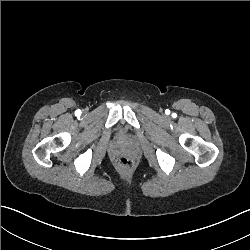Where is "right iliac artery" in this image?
Masks as SVG:
<instances>
[{"label": "right iliac artery", "instance_id": "right-iliac-artery-1", "mask_svg": "<svg viewBox=\"0 0 250 250\" xmlns=\"http://www.w3.org/2000/svg\"><path fill=\"white\" fill-rule=\"evenodd\" d=\"M75 115H76V116H80V115H81V110H80V109L76 110V111H75Z\"/></svg>", "mask_w": 250, "mask_h": 250}]
</instances>
